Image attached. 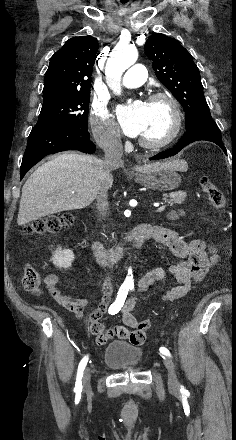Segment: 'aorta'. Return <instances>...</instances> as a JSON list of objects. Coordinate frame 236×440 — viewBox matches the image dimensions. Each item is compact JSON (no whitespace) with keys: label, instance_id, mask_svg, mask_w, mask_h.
Returning a JSON list of instances; mask_svg holds the SVG:
<instances>
[{"label":"aorta","instance_id":"aorta-1","mask_svg":"<svg viewBox=\"0 0 236 440\" xmlns=\"http://www.w3.org/2000/svg\"><path fill=\"white\" fill-rule=\"evenodd\" d=\"M138 58V52L131 46H117L111 53L105 67L106 81L110 89L117 95L121 94L122 74L132 66ZM132 278V269H128L127 280Z\"/></svg>","mask_w":236,"mask_h":440}]
</instances>
